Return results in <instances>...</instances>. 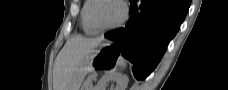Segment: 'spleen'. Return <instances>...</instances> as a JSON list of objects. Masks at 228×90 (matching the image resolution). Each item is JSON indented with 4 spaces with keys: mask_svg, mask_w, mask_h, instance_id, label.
I'll use <instances>...</instances> for the list:
<instances>
[{
    "mask_svg": "<svg viewBox=\"0 0 228 90\" xmlns=\"http://www.w3.org/2000/svg\"><path fill=\"white\" fill-rule=\"evenodd\" d=\"M119 65L121 67H125L126 66V62L123 59H121L120 62H119Z\"/></svg>",
    "mask_w": 228,
    "mask_h": 90,
    "instance_id": "obj_1",
    "label": "spleen"
}]
</instances>
